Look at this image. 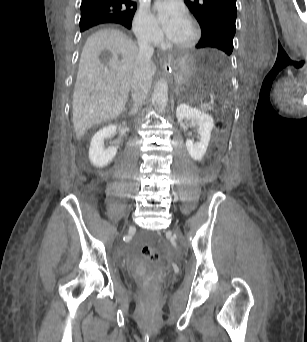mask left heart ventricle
<instances>
[{
	"instance_id": "obj_1",
	"label": "left heart ventricle",
	"mask_w": 307,
	"mask_h": 342,
	"mask_svg": "<svg viewBox=\"0 0 307 342\" xmlns=\"http://www.w3.org/2000/svg\"><path fill=\"white\" fill-rule=\"evenodd\" d=\"M188 38H189V31H188V33L186 34V36H185L182 40H180L179 42L175 43L174 46H175V47H181V46H183V45L187 42Z\"/></svg>"
}]
</instances>
